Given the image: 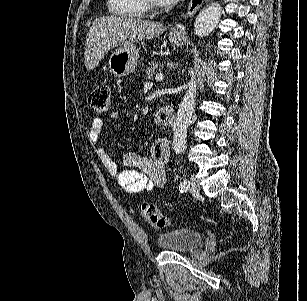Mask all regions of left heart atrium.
Returning <instances> with one entry per match:
<instances>
[{"instance_id": "left-heart-atrium-1", "label": "left heart atrium", "mask_w": 307, "mask_h": 301, "mask_svg": "<svg viewBox=\"0 0 307 301\" xmlns=\"http://www.w3.org/2000/svg\"><path fill=\"white\" fill-rule=\"evenodd\" d=\"M162 4H174L175 0H161Z\"/></svg>"}]
</instances>
